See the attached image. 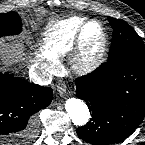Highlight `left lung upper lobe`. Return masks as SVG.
<instances>
[{"mask_svg": "<svg viewBox=\"0 0 145 145\" xmlns=\"http://www.w3.org/2000/svg\"><path fill=\"white\" fill-rule=\"evenodd\" d=\"M113 28L108 60L134 58L145 61V45L139 35L122 19L108 17Z\"/></svg>", "mask_w": 145, "mask_h": 145, "instance_id": "left-lung-upper-lobe-1", "label": "left lung upper lobe"}]
</instances>
